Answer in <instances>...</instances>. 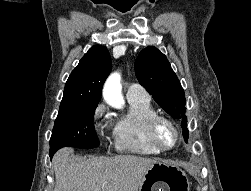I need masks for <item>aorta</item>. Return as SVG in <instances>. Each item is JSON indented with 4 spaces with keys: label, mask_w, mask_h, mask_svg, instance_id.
Listing matches in <instances>:
<instances>
[{
    "label": "aorta",
    "mask_w": 251,
    "mask_h": 191,
    "mask_svg": "<svg viewBox=\"0 0 251 191\" xmlns=\"http://www.w3.org/2000/svg\"><path fill=\"white\" fill-rule=\"evenodd\" d=\"M121 76L118 72L115 74H111L109 78H107L104 88H103V97L109 105L112 107H122L125 103V99L122 96V86L120 84Z\"/></svg>",
    "instance_id": "obj_1"
}]
</instances>
